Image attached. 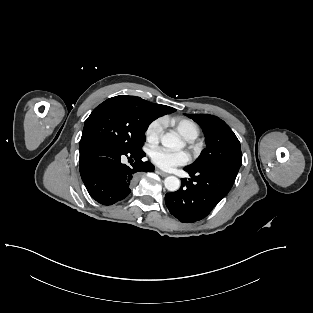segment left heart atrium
I'll list each match as a JSON object with an SVG mask.
<instances>
[{
	"mask_svg": "<svg viewBox=\"0 0 313 313\" xmlns=\"http://www.w3.org/2000/svg\"><path fill=\"white\" fill-rule=\"evenodd\" d=\"M152 162L164 170L184 165L189 161V155L184 151H171L163 147H155L150 152Z\"/></svg>",
	"mask_w": 313,
	"mask_h": 313,
	"instance_id": "1",
	"label": "left heart atrium"
}]
</instances>
